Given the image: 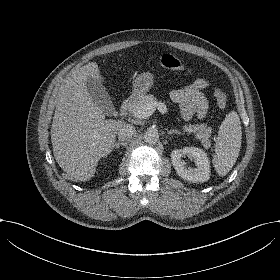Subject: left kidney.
Wrapping results in <instances>:
<instances>
[{"label": "left kidney", "mask_w": 280, "mask_h": 280, "mask_svg": "<svg viewBox=\"0 0 280 280\" xmlns=\"http://www.w3.org/2000/svg\"><path fill=\"white\" fill-rule=\"evenodd\" d=\"M183 152L187 153L194 162V167L190 168L185 165L182 159L183 153L172 151L171 161L178 175L190 182H204L210 179V160L207 153L202 148H187Z\"/></svg>", "instance_id": "5707ae66"}]
</instances>
